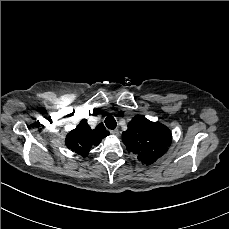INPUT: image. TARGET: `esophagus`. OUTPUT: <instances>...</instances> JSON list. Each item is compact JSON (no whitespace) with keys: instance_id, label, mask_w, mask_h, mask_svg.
Returning a JSON list of instances; mask_svg holds the SVG:
<instances>
[{"instance_id":"esophagus-1","label":"esophagus","mask_w":229,"mask_h":229,"mask_svg":"<svg viewBox=\"0 0 229 229\" xmlns=\"http://www.w3.org/2000/svg\"><path fill=\"white\" fill-rule=\"evenodd\" d=\"M111 134L115 136H119V130L118 129L111 130Z\"/></svg>"}]
</instances>
